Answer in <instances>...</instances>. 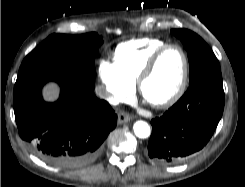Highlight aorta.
I'll list each match as a JSON object with an SVG mask.
<instances>
[{
  "label": "aorta",
  "instance_id": "762f6f07",
  "mask_svg": "<svg viewBox=\"0 0 245 187\" xmlns=\"http://www.w3.org/2000/svg\"><path fill=\"white\" fill-rule=\"evenodd\" d=\"M134 133L139 138H147L150 136V126L144 121H137L133 126Z\"/></svg>",
  "mask_w": 245,
  "mask_h": 187
}]
</instances>
